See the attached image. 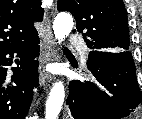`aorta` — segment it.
Returning a JSON list of instances; mask_svg holds the SVG:
<instances>
[{
	"mask_svg": "<svg viewBox=\"0 0 142 119\" xmlns=\"http://www.w3.org/2000/svg\"><path fill=\"white\" fill-rule=\"evenodd\" d=\"M73 18L70 14L62 12L57 14L53 21L55 38L63 41L73 28ZM65 98L64 85L61 81L56 82L46 102L45 119H58Z\"/></svg>",
	"mask_w": 142,
	"mask_h": 119,
	"instance_id": "aorta-1",
	"label": "aorta"
}]
</instances>
